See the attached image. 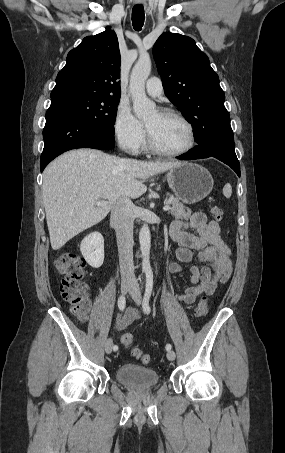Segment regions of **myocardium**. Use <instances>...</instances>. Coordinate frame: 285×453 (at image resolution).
Returning <instances> with one entry per match:
<instances>
[{
  "instance_id": "1",
  "label": "myocardium",
  "mask_w": 285,
  "mask_h": 453,
  "mask_svg": "<svg viewBox=\"0 0 285 453\" xmlns=\"http://www.w3.org/2000/svg\"><path fill=\"white\" fill-rule=\"evenodd\" d=\"M158 113L162 116L174 117L180 120L188 129L189 142L186 147L178 151H169L162 149L155 143L146 127V141L148 149L155 154L167 157H180L190 152L196 144V133L193 124L183 114L173 109H162L159 110Z\"/></svg>"
}]
</instances>
